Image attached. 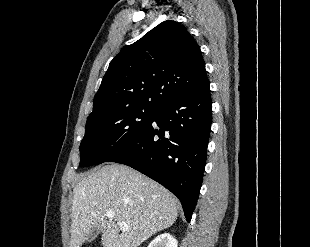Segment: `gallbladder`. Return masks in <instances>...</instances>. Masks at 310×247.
I'll list each match as a JSON object with an SVG mask.
<instances>
[{
	"mask_svg": "<svg viewBox=\"0 0 310 247\" xmlns=\"http://www.w3.org/2000/svg\"><path fill=\"white\" fill-rule=\"evenodd\" d=\"M100 230L98 228H93L89 235L87 236V242H92L99 234Z\"/></svg>",
	"mask_w": 310,
	"mask_h": 247,
	"instance_id": "bac80fb5",
	"label": "gallbladder"
}]
</instances>
